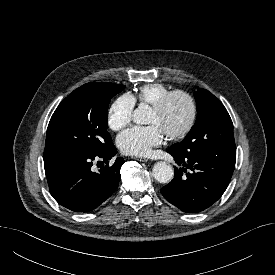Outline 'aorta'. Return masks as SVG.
<instances>
[{
	"label": "aorta",
	"instance_id": "aorta-1",
	"mask_svg": "<svg viewBox=\"0 0 275 275\" xmlns=\"http://www.w3.org/2000/svg\"><path fill=\"white\" fill-rule=\"evenodd\" d=\"M149 107L140 104L133 112V121L136 124H146L148 120ZM153 176L159 183H168L174 176V170L168 163L164 161L157 162L153 167Z\"/></svg>",
	"mask_w": 275,
	"mask_h": 275
}]
</instances>
